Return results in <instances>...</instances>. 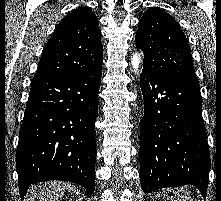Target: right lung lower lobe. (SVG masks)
<instances>
[{
  "label": "right lung lower lobe",
  "instance_id": "1",
  "mask_svg": "<svg viewBox=\"0 0 221 201\" xmlns=\"http://www.w3.org/2000/svg\"><path fill=\"white\" fill-rule=\"evenodd\" d=\"M102 69L68 77L35 76L16 152L19 193L64 180L95 189V120Z\"/></svg>",
  "mask_w": 221,
  "mask_h": 201
}]
</instances>
